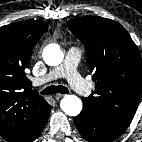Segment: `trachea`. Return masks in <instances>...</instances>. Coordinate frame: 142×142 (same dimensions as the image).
<instances>
[{"label": "trachea", "instance_id": "trachea-1", "mask_svg": "<svg viewBox=\"0 0 142 142\" xmlns=\"http://www.w3.org/2000/svg\"><path fill=\"white\" fill-rule=\"evenodd\" d=\"M57 92L62 93V94H66V93H69V90H68L67 87L62 86V85H58V86L51 85V86L46 87L45 89H43L41 91V94L50 95V94H55Z\"/></svg>", "mask_w": 142, "mask_h": 142}]
</instances>
